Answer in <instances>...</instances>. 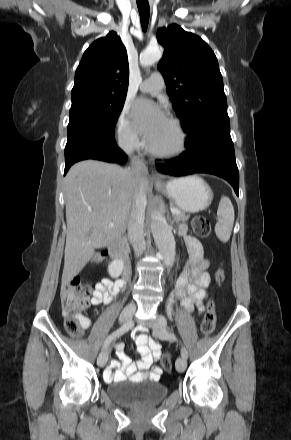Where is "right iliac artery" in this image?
Wrapping results in <instances>:
<instances>
[{"instance_id": "right-iliac-artery-1", "label": "right iliac artery", "mask_w": 291, "mask_h": 440, "mask_svg": "<svg viewBox=\"0 0 291 440\" xmlns=\"http://www.w3.org/2000/svg\"><path fill=\"white\" fill-rule=\"evenodd\" d=\"M132 321H127L123 326H121L119 329H117L115 332L110 334L106 340L104 341L103 348H107L109 344L112 342V340L116 339L117 337H120L122 334L126 333L132 326Z\"/></svg>"}]
</instances>
